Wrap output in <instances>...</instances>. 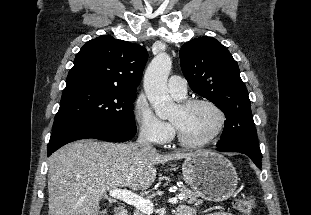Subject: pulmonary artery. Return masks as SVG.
Returning a JSON list of instances; mask_svg holds the SVG:
<instances>
[{
    "label": "pulmonary artery",
    "instance_id": "1",
    "mask_svg": "<svg viewBox=\"0 0 311 215\" xmlns=\"http://www.w3.org/2000/svg\"><path fill=\"white\" fill-rule=\"evenodd\" d=\"M168 91L176 98L183 99L187 95V82L178 75H173L168 80Z\"/></svg>",
    "mask_w": 311,
    "mask_h": 215
}]
</instances>
